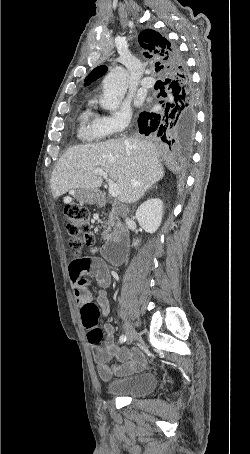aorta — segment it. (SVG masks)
<instances>
[{
    "label": "aorta",
    "instance_id": "obj_1",
    "mask_svg": "<svg viewBox=\"0 0 250 454\" xmlns=\"http://www.w3.org/2000/svg\"><path fill=\"white\" fill-rule=\"evenodd\" d=\"M128 73L123 67L113 68L103 80L100 105L106 110H116L127 92Z\"/></svg>",
    "mask_w": 250,
    "mask_h": 454
}]
</instances>
